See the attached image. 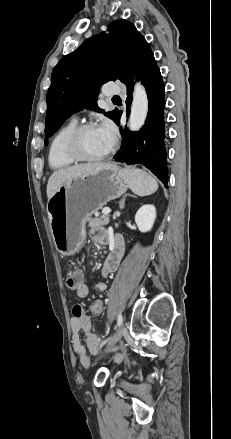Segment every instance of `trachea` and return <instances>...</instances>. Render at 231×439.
<instances>
[{"mask_svg":"<svg viewBox=\"0 0 231 439\" xmlns=\"http://www.w3.org/2000/svg\"><path fill=\"white\" fill-rule=\"evenodd\" d=\"M113 100H117V99H120V97L119 96H117V95H115V96H113V98H112Z\"/></svg>","mask_w":231,"mask_h":439,"instance_id":"obj_1","label":"trachea"}]
</instances>
